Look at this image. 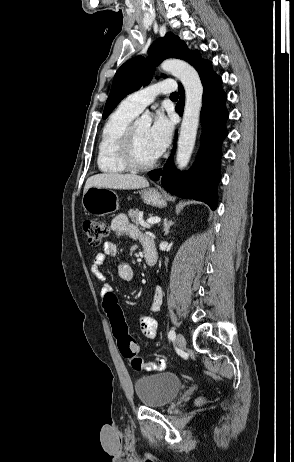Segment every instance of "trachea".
Returning a JSON list of instances; mask_svg holds the SVG:
<instances>
[{
  "instance_id": "1",
  "label": "trachea",
  "mask_w": 294,
  "mask_h": 462,
  "mask_svg": "<svg viewBox=\"0 0 294 462\" xmlns=\"http://www.w3.org/2000/svg\"><path fill=\"white\" fill-rule=\"evenodd\" d=\"M171 98H178V93L177 92H174L170 95Z\"/></svg>"
}]
</instances>
